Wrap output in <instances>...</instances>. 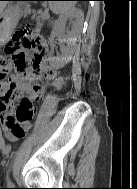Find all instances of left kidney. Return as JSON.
Masks as SVG:
<instances>
[{"label":"left kidney","instance_id":"obj_1","mask_svg":"<svg viewBox=\"0 0 137 189\" xmlns=\"http://www.w3.org/2000/svg\"><path fill=\"white\" fill-rule=\"evenodd\" d=\"M80 17H82V13L78 10L74 8L67 9L64 13L60 15L58 21L55 23L51 36L58 37L61 42L65 41L63 39V29L67 19ZM61 51L63 53V56L60 58H55L52 54L50 55L49 62L51 64H54L58 67H62L72 59V52L69 49L62 47Z\"/></svg>","mask_w":137,"mask_h":189}]
</instances>
